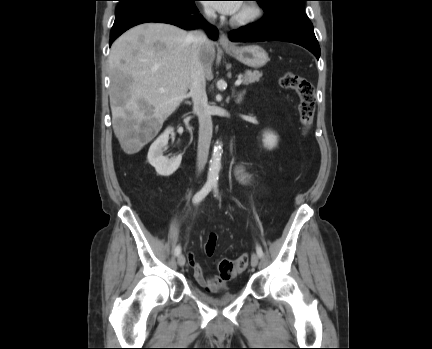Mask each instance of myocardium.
I'll return each mask as SVG.
<instances>
[{
	"label": "myocardium",
	"mask_w": 432,
	"mask_h": 349,
	"mask_svg": "<svg viewBox=\"0 0 432 349\" xmlns=\"http://www.w3.org/2000/svg\"><path fill=\"white\" fill-rule=\"evenodd\" d=\"M243 6L247 9L244 15H234L231 18V23L234 26H247L257 22L263 15L261 5L255 1L246 2Z\"/></svg>",
	"instance_id": "f54148a6"
}]
</instances>
